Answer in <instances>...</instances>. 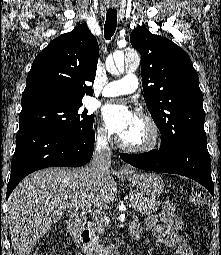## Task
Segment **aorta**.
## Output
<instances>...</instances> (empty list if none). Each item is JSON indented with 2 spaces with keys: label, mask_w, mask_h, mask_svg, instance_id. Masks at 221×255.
Returning a JSON list of instances; mask_svg holds the SVG:
<instances>
[{
  "label": "aorta",
  "mask_w": 221,
  "mask_h": 255,
  "mask_svg": "<svg viewBox=\"0 0 221 255\" xmlns=\"http://www.w3.org/2000/svg\"><path fill=\"white\" fill-rule=\"evenodd\" d=\"M139 56L133 52H127L125 55L124 53L117 52L114 54V62L115 68L119 72H123L124 69L128 71H134L139 66ZM109 70V66L107 65Z\"/></svg>",
  "instance_id": "obj_1"
}]
</instances>
